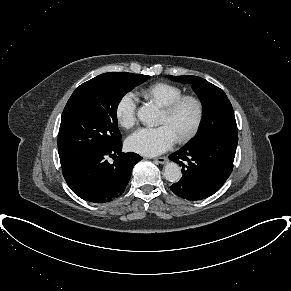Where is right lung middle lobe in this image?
<instances>
[{"label": "right lung middle lobe", "mask_w": 291, "mask_h": 291, "mask_svg": "<svg viewBox=\"0 0 291 291\" xmlns=\"http://www.w3.org/2000/svg\"><path fill=\"white\" fill-rule=\"evenodd\" d=\"M150 76L105 73L80 85L68 100L61 118L58 152L61 166L89 152L121 140L117 107L122 97Z\"/></svg>", "instance_id": "dd1d6c3e"}]
</instances>
